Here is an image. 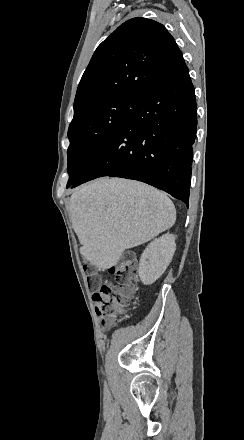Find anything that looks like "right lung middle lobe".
<instances>
[{
  "label": "right lung middle lobe",
  "mask_w": 244,
  "mask_h": 440,
  "mask_svg": "<svg viewBox=\"0 0 244 440\" xmlns=\"http://www.w3.org/2000/svg\"><path fill=\"white\" fill-rule=\"evenodd\" d=\"M141 97L115 96L74 107L67 151L69 181L75 183L87 166L126 122Z\"/></svg>",
  "instance_id": "obj_1"
}]
</instances>
